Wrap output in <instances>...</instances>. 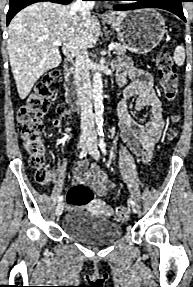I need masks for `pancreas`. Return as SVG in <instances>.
<instances>
[{
	"instance_id": "pancreas-1",
	"label": "pancreas",
	"mask_w": 193,
	"mask_h": 287,
	"mask_svg": "<svg viewBox=\"0 0 193 287\" xmlns=\"http://www.w3.org/2000/svg\"><path fill=\"white\" fill-rule=\"evenodd\" d=\"M127 50V45L125 42L121 41L118 43H115V54L117 55H124Z\"/></svg>"
}]
</instances>
